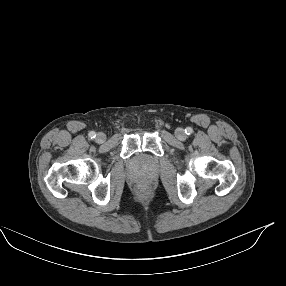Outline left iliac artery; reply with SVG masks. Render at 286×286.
I'll list each match as a JSON object with an SVG mask.
<instances>
[{"instance_id": "44dca946", "label": "left iliac artery", "mask_w": 286, "mask_h": 286, "mask_svg": "<svg viewBox=\"0 0 286 286\" xmlns=\"http://www.w3.org/2000/svg\"><path fill=\"white\" fill-rule=\"evenodd\" d=\"M192 132H193V129H192L191 127H187V128L185 129V133H186L187 135L192 134Z\"/></svg>"}]
</instances>
